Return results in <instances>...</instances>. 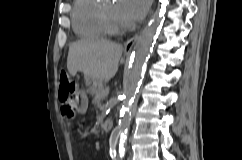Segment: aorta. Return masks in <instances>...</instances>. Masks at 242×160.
Listing matches in <instances>:
<instances>
[{
	"label": "aorta",
	"instance_id": "1",
	"mask_svg": "<svg viewBox=\"0 0 242 160\" xmlns=\"http://www.w3.org/2000/svg\"><path fill=\"white\" fill-rule=\"evenodd\" d=\"M161 2L160 11H155L147 26L142 30L136 40L135 51L132 56V64L129 70L123 77V103L120 111V120L117 127H115L109 138L110 149H115L118 139H120L119 153L122 157L124 155V142L127 138L128 129L131 120V101L135 95V90L141 80L143 68L149 55L151 45L155 35L159 29L162 20V10L164 9L167 0H159ZM160 6V4H159Z\"/></svg>",
	"mask_w": 242,
	"mask_h": 160
}]
</instances>
